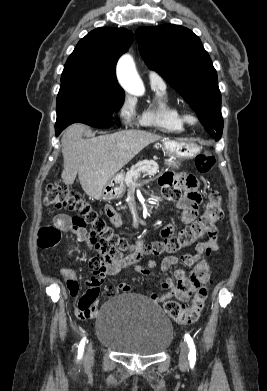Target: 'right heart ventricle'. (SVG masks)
<instances>
[{
    "instance_id": "e07e8e85",
    "label": "right heart ventricle",
    "mask_w": 267,
    "mask_h": 391,
    "mask_svg": "<svg viewBox=\"0 0 267 391\" xmlns=\"http://www.w3.org/2000/svg\"><path fill=\"white\" fill-rule=\"evenodd\" d=\"M154 96L143 110L139 122L166 132L180 133L186 130V122L180 109L171 102L164 87L152 86Z\"/></svg>"
}]
</instances>
